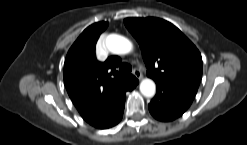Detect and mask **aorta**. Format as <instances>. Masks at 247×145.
<instances>
[{
  "label": "aorta",
  "instance_id": "aorta-1",
  "mask_svg": "<svg viewBox=\"0 0 247 145\" xmlns=\"http://www.w3.org/2000/svg\"><path fill=\"white\" fill-rule=\"evenodd\" d=\"M106 47L114 54H127L129 53L133 45L125 37L117 34H110L105 40ZM140 92L145 97H153L156 92V85L152 79H143L140 83Z\"/></svg>",
  "mask_w": 247,
  "mask_h": 145
}]
</instances>
